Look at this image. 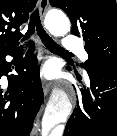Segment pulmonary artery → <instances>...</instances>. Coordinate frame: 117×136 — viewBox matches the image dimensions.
Segmentation results:
<instances>
[{
  "instance_id": "pulmonary-artery-1",
  "label": "pulmonary artery",
  "mask_w": 117,
  "mask_h": 136,
  "mask_svg": "<svg viewBox=\"0 0 117 136\" xmlns=\"http://www.w3.org/2000/svg\"><path fill=\"white\" fill-rule=\"evenodd\" d=\"M63 45L66 50L77 52L83 61L88 59V54L83 49L82 43L78 38L68 35L64 39Z\"/></svg>"
}]
</instances>
